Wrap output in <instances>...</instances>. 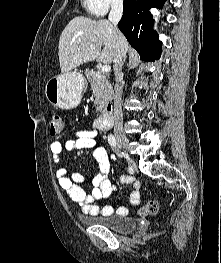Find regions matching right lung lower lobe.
I'll use <instances>...</instances> for the list:
<instances>
[{
  "label": "right lung lower lobe",
  "instance_id": "obj_1",
  "mask_svg": "<svg viewBox=\"0 0 221 263\" xmlns=\"http://www.w3.org/2000/svg\"><path fill=\"white\" fill-rule=\"evenodd\" d=\"M166 0H124L123 16L118 28L127 38L140 58L145 61L158 60L162 43L153 31V18L149 9L161 8Z\"/></svg>",
  "mask_w": 221,
  "mask_h": 263
}]
</instances>
